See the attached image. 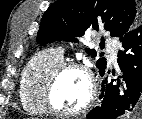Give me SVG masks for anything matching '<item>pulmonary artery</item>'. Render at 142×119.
I'll use <instances>...</instances> for the list:
<instances>
[{
    "instance_id": "e3ab8cb5",
    "label": "pulmonary artery",
    "mask_w": 142,
    "mask_h": 119,
    "mask_svg": "<svg viewBox=\"0 0 142 119\" xmlns=\"http://www.w3.org/2000/svg\"><path fill=\"white\" fill-rule=\"evenodd\" d=\"M106 45L108 47L109 53H110V59L113 63H116L117 61V52L118 48L117 46L110 40L106 39ZM59 53L62 55V50H59Z\"/></svg>"
}]
</instances>
